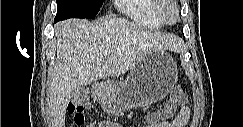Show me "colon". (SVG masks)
<instances>
[{
	"label": "colon",
	"mask_w": 243,
	"mask_h": 127,
	"mask_svg": "<svg viewBox=\"0 0 243 127\" xmlns=\"http://www.w3.org/2000/svg\"><path fill=\"white\" fill-rule=\"evenodd\" d=\"M171 97L174 104L182 105L186 101V97L179 86L173 88ZM168 110L169 112H173L175 110V106L171 105ZM68 112L72 116L73 122L76 126L83 125L85 121V105L83 103H71L68 106Z\"/></svg>",
	"instance_id": "obj_1"
}]
</instances>
